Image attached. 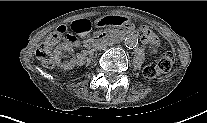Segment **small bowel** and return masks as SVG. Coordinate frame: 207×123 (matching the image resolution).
I'll return each instance as SVG.
<instances>
[{
    "label": "small bowel",
    "instance_id": "obj_1",
    "mask_svg": "<svg viewBox=\"0 0 207 123\" xmlns=\"http://www.w3.org/2000/svg\"><path fill=\"white\" fill-rule=\"evenodd\" d=\"M127 22L125 15H106L98 18V25L100 27H107L108 25H124ZM91 28V21L89 19H80L71 23V31L75 34L88 31ZM142 41L152 48L157 49L158 40L154 32L147 28H142Z\"/></svg>",
    "mask_w": 207,
    "mask_h": 123
}]
</instances>
